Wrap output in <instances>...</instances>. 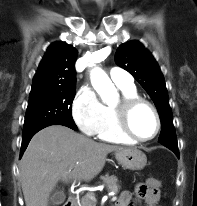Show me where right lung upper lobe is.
Segmentation results:
<instances>
[{
	"mask_svg": "<svg viewBox=\"0 0 197 206\" xmlns=\"http://www.w3.org/2000/svg\"><path fill=\"white\" fill-rule=\"evenodd\" d=\"M77 50L67 43H52L33 78L32 90L75 87Z\"/></svg>",
	"mask_w": 197,
	"mask_h": 206,
	"instance_id": "1",
	"label": "right lung upper lobe"
}]
</instances>
